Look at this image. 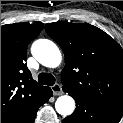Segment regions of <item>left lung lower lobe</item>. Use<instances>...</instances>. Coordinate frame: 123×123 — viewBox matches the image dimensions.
I'll return each instance as SVG.
<instances>
[{
	"mask_svg": "<svg viewBox=\"0 0 123 123\" xmlns=\"http://www.w3.org/2000/svg\"><path fill=\"white\" fill-rule=\"evenodd\" d=\"M72 97L77 108L62 123H118L122 117L123 110L81 96Z\"/></svg>",
	"mask_w": 123,
	"mask_h": 123,
	"instance_id": "0a47b994",
	"label": "left lung lower lobe"
}]
</instances>
